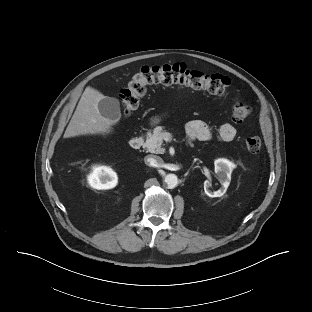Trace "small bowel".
<instances>
[{
  "instance_id": "obj_1",
  "label": "small bowel",
  "mask_w": 312,
  "mask_h": 312,
  "mask_svg": "<svg viewBox=\"0 0 312 312\" xmlns=\"http://www.w3.org/2000/svg\"><path fill=\"white\" fill-rule=\"evenodd\" d=\"M186 132L189 140L208 141L212 137V132L209 126L199 120L191 121L186 126ZM237 135V130L234 125L225 123L220 126L218 131V138L221 141L228 142L233 140Z\"/></svg>"
}]
</instances>
